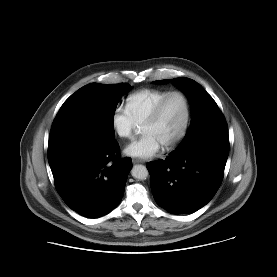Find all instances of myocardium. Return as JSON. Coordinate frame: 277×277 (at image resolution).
<instances>
[{
    "instance_id": "f54148a6",
    "label": "myocardium",
    "mask_w": 277,
    "mask_h": 277,
    "mask_svg": "<svg viewBox=\"0 0 277 277\" xmlns=\"http://www.w3.org/2000/svg\"><path fill=\"white\" fill-rule=\"evenodd\" d=\"M173 96H180L185 103V108H186L185 121H184V124H183V127H182L180 133L170 143H168L164 146L165 150L174 149L187 135V132L189 130V126L191 123V115H192L191 102H190L188 96L182 91L169 92L166 96H164L160 100V102L157 104V106L155 107V109L153 110L151 115L143 123V127L156 123L159 120V118L161 117V114L163 112V109H164L167 101Z\"/></svg>"
}]
</instances>
